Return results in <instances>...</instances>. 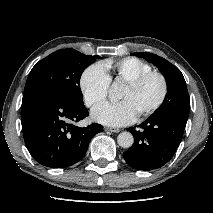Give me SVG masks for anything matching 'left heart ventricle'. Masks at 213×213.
Returning a JSON list of instances; mask_svg holds the SVG:
<instances>
[{"label":"left heart ventricle","mask_w":213,"mask_h":213,"mask_svg":"<svg viewBox=\"0 0 213 213\" xmlns=\"http://www.w3.org/2000/svg\"><path fill=\"white\" fill-rule=\"evenodd\" d=\"M161 92L160 81L153 77L148 79L138 88L125 86L121 95V100L129 101L137 114L155 102Z\"/></svg>","instance_id":"obj_1"}]
</instances>
